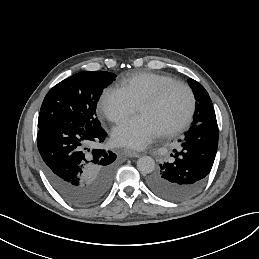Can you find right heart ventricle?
<instances>
[{
    "label": "right heart ventricle",
    "instance_id": "1",
    "mask_svg": "<svg viewBox=\"0 0 259 259\" xmlns=\"http://www.w3.org/2000/svg\"><path fill=\"white\" fill-rule=\"evenodd\" d=\"M172 80L174 79L166 74L133 73L122 77L116 89L139 105L144 99L153 96L161 85Z\"/></svg>",
    "mask_w": 259,
    "mask_h": 259
}]
</instances>
